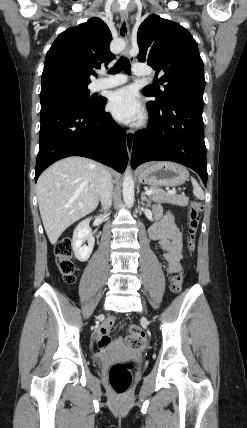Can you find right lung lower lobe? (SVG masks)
Here are the masks:
<instances>
[{
	"label": "right lung lower lobe",
	"instance_id": "1",
	"mask_svg": "<svg viewBox=\"0 0 247 428\" xmlns=\"http://www.w3.org/2000/svg\"><path fill=\"white\" fill-rule=\"evenodd\" d=\"M106 98L90 109L58 105L41 109L35 181L52 163L83 156L123 172L128 156L125 131L104 111Z\"/></svg>",
	"mask_w": 247,
	"mask_h": 428
}]
</instances>
